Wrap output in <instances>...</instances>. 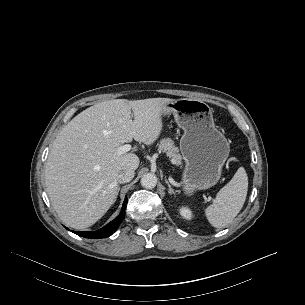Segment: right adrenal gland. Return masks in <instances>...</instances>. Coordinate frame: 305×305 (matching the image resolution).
<instances>
[{
	"label": "right adrenal gland",
	"instance_id": "2a0ac1e0",
	"mask_svg": "<svg viewBox=\"0 0 305 305\" xmlns=\"http://www.w3.org/2000/svg\"><path fill=\"white\" fill-rule=\"evenodd\" d=\"M119 190H120V185H118V189H117V193H116V198L118 196Z\"/></svg>",
	"mask_w": 305,
	"mask_h": 305
}]
</instances>
